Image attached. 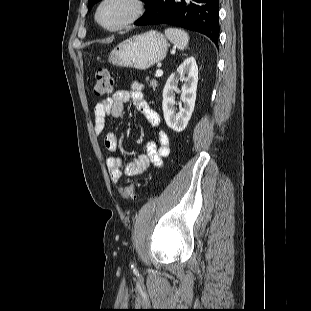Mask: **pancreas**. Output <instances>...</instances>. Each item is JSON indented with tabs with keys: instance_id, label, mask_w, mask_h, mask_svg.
Wrapping results in <instances>:
<instances>
[{
	"instance_id": "cf45deb5",
	"label": "pancreas",
	"mask_w": 311,
	"mask_h": 311,
	"mask_svg": "<svg viewBox=\"0 0 311 311\" xmlns=\"http://www.w3.org/2000/svg\"><path fill=\"white\" fill-rule=\"evenodd\" d=\"M149 86L152 87V89L155 91L156 88L158 87V81L156 79L150 80Z\"/></svg>"
}]
</instances>
